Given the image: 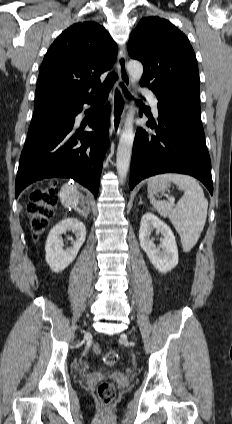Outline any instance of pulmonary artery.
I'll use <instances>...</instances> for the list:
<instances>
[{"label":"pulmonary artery","mask_w":232,"mask_h":424,"mask_svg":"<svg viewBox=\"0 0 232 424\" xmlns=\"http://www.w3.org/2000/svg\"><path fill=\"white\" fill-rule=\"evenodd\" d=\"M140 92L148 98L151 104L153 113L155 114V116H158V107H157L158 101L156 96L147 89H141Z\"/></svg>","instance_id":"pulmonary-artery-1"}]
</instances>
